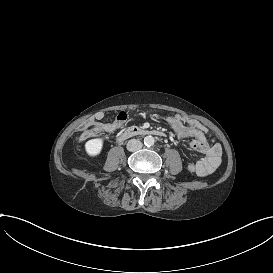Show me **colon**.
I'll use <instances>...</instances> for the list:
<instances>
[{"label": "colon", "instance_id": "colon-1", "mask_svg": "<svg viewBox=\"0 0 273 273\" xmlns=\"http://www.w3.org/2000/svg\"><path fill=\"white\" fill-rule=\"evenodd\" d=\"M96 122H97V121H96V119H95V118H93V117H91V118H89V119L87 120V122H86V123H87V125H88V126H90V127H91V126L95 125V124H96ZM79 129H80V131H81V132H83V133H84V132H86V131H87V129H88V128H87V126H86V125H84V124H83V125H81V126H80V128H79Z\"/></svg>", "mask_w": 273, "mask_h": 273}]
</instances>
